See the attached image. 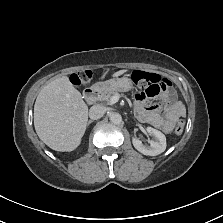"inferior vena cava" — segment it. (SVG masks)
Masks as SVG:
<instances>
[{"label": "inferior vena cava", "mask_w": 223, "mask_h": 223, "mask_svg": "<svg viewBox=\"0 0 223 223\" xmlns=\"http://www.w3.org/2000/svg\"><path fill=\"white\" fill-rule=\"evenodd\" d=\"M105 113V108L101 105H94L89 110V117L91 119H99L101 118Z\"/></svg>", "instance_id": "1"}]
</instances>
